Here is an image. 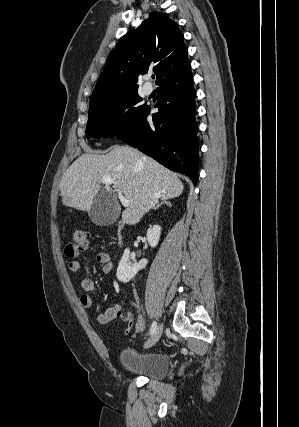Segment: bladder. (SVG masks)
Returning <instances> with one entry per match:
<instances>
[{"label":"bladder","mask_w":299,"mask_h":427,"mask_svg":"<svg viewBox=\"0 0 299 427\" xmlns=\"http://www.w3.org/2000/svg\"><path fill=\"white\" fill-rule=\"evenodd\" d=\"M121 360L129 374L159 380L169 371V361L162 354L139 355L131 348L121 350Z\"/></svg>","instance_id":"bladder-1"}]
</instances>
